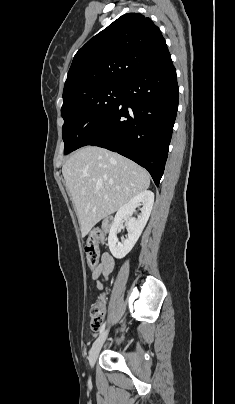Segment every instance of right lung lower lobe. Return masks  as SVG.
I'll list each match as a JSON object with an SVG mask.
<instances>
[{"mask_svg":"<svg viewBox=\"0 0 235 404\" xmlns=\"http://www.w3.org/2000/svg\"><path fill=\"white\" fill-rule=\"evenodd\" d=\"M178 84L171 56L133 75L123 84L121 101L82 139L117 152L151 174L163 175L178 108Z\"/></svg>","mask_w":235,"mask_h":404,"instance_id":"1","label":"right lung lower lobe"}]
</instances>
